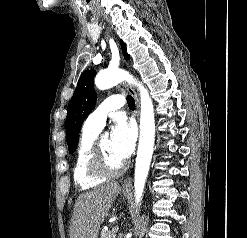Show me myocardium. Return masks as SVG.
<instances>
[{
    "label": "myocardium",
    "instance_id": "obj_1",
    "mask_svg": "<svg viewBox=\"0 0 247 238\" xmlns=\"http://www.w3.org/2000/svg\"><path fill=\"white\" fill-rule=\"evenodd\" d=\"M127 167V162L123 161L118 167L111 166L102 151L101 140H96L89 160V172L100 178H113L121 175Z\"/></svg>",
    "mask_w": 247,
    "mask_h": 238
}]
</instances>
